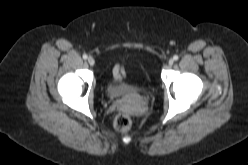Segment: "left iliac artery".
Wrapping results in <instances>:
<instances>
[{
	"label": "left iliac artery",
	"mask_w": 248,
	"mask_h": 165,
	"mask_svg": "<svg viewBox=\"0 0 248 165\" xmlns=\"http://www.w3.org/2000/svg\"><path fill=\"white\" fill-rule=\"evenodd\" d=\"M173 59L178 60L179 59L178 55H174Z\"/></svg>",
	"instance_id": "44dca946"
}]
</instances>
